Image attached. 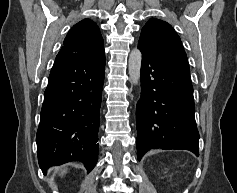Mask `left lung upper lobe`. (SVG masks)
Masks as SVG:
<instances>
[{
	"label": "left lung upper lobe",
	"mask_w": 237,
	"mask_h": 193,
	"mask_svg": "<svg viewBox=\"0 0 237 193\" xmlns=\"http://www.w3.org/2000/svg\"><path fill=\"white\" fill-rule=\"evenodd\" d=\"M138 47L189 70L181 39L165 21L150 19L142 28Z\"/></svg>",
	"instance_id": "1"
}]
</instances>
